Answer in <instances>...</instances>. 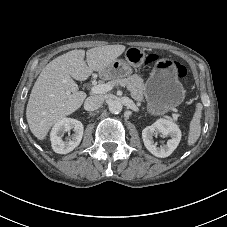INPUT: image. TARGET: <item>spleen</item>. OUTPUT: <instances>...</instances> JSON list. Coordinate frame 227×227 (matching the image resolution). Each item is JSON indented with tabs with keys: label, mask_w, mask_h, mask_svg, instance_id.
I'll return each instance as SVG.
<instances>
[{
	"label": "spleen",
	"mask_w": 227,
	"mask_h": 227,
	"mask_svg": "<svg viewBox=\"0 0 227 227\" xmlns=\"http://www.w3.org/2000/svg\"><path fill=\"white\" fill-rule=\"evenodd\" d=\"M202 115V105L200 103L196 106V111L193 115V118L190 122L189 135H188V146H192L198 140L201 133V124L200 119Z\"/></svg>",
	"instance_id": "3e777b00"
}]
</instances>
